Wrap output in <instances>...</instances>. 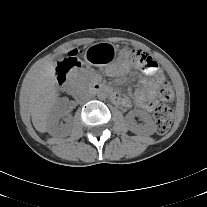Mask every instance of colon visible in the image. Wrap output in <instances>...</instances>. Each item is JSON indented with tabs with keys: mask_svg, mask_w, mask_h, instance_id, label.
<instances>
[{
	"mask_svg": "<svg viewBox=\"0 0 207 207\" xmlns=\"http://www.w3.org/2000/svg\"><path fill=\"white\" fill-rule=\"evenodd\" d=\"M77 55L76 51L69 53V61L71 58ZM124 58L133 61L137 67H139L144 73L150 74L156 70L157 64L153 58H150L146 54L140 51L132 50L124 54ZM72 65L66 64L63 68H59L58 75L63 77L65 72ZM174 99L173 86L168 81H163L158 91L157 105L154 112L157 133L165 134L171 127L173 120V112L166 105Z\"/></svg>",
	"mask_w": 207,
	"mask_h": 207,
	"instance_id": "5ec220e1",
	"label": "colon"
}]
</instances>
